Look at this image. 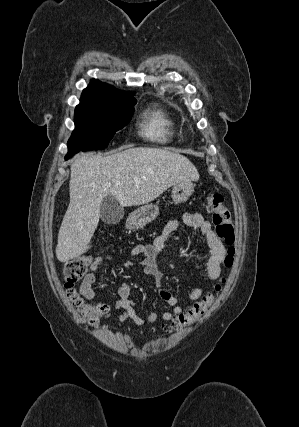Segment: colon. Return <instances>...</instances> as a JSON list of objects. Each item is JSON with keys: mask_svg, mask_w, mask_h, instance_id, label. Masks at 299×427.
<instances>
[{"mask_svg": "<svg viewBox=\"0 0 299 427\" xmlns=\"http://www.w3.org/2000/svg\"><path fill=\"white\" fill-rule=\"evenodd\" d=\"M205 207L212 214L217 236L228 246L223 262L226 267H231L235 255V226L232 211L224 205L223 196L216 192L207 194ZM91 263L92 258L88 255L74 257L66 261L63 274L67 295L73 305L90 325L96 326L99 324L101 317L108 312V306L85 302L75 289L76 283L86 275ZM220 290L221 286L217 285L200 301L195 302L188 311L179 314L166 329L169 331L177 330L199 321L213 304Z\"/></svg>", "mask_w": 299, "mask_h": 427, "instance_id": "colon-1", "label": "colon"}]
</instances>
